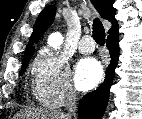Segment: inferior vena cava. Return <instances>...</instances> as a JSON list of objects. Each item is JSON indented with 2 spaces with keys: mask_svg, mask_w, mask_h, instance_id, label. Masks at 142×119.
Here are the masks:
<instances>
[{
  "mask_svg": "<svg viewBox=\"0 0 142 119\" xmlns=\"http://www.w3.org/2000/svg\"><path fill=\"white\" fill-rule=\"evenodd\" d=\"M65 109L67 113L64 115L67 119H72V117H76L77 96L76 91L72 87H69L66 93Z\"/></svg>",
  "mask_w": 142,
  "mask_h": 119,
  "instance_id": "obj_1",
  "label": "inferior vena cava"
}]
</instances>
